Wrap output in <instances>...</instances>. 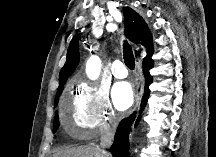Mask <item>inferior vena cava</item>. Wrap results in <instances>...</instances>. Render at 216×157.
<instances>
[{
	"mask_svg": "<svg viewBox=\"0 0 216 157\" xmlns=\"http://www.w3.org/2000/svg\"><path fill=\"white\" fill-rule=\"evenodd\" d=\"M113 139H114L113 132L109 130H105L101 133L100 146L103 148L102 152L105 154V156H107V153L104 149L109 148L112 145Z\"/></svg>",
	"mask_w": 216,
	"mask_h": 157,
	"instance_id": "obj_1",
	"label": "inferior vena cava"
}]
</instances>
